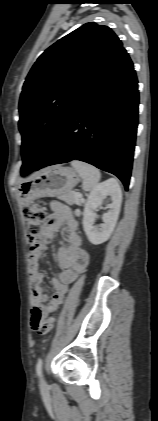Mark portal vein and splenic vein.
<instances>
[{
    "mask_svg": "<svg viewBox=\"0 0 158 421\" xmlns=\"http://www.w3.org/2000/svg\"><path fill=\"white\" fill-rule=\"evenodd\" d=\"M74 194H75L76 197L82 198V194L81 193L75 192Z\"/></svg>",
    "mask_w": 158,
    "mask_h": 421,
    "instance_id": "obj_1",
    "label": "portal vein and splenic vein"
}]
</instances>
